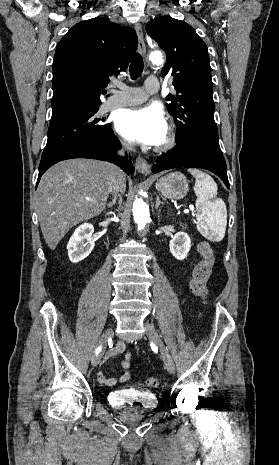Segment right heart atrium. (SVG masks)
I'll return each mask as SVG.
<instances>
[{"mask_svg": "<svg viewBox=\"0 0 279 465\" xmlns=\"http://www.w3.org/2000/svg\"><path fill=\"white\" fill-rule=\"evenodd\" d=\"M122 144H123V146H125V147H129V146H130V144H129L127 141H125V140L122 141Z\"/></svg>", "mask_w": 279, "mask_h": 465, "instance_id": "right-heart-atrium-1", "label": "right heart atrium"}]
</instances>
